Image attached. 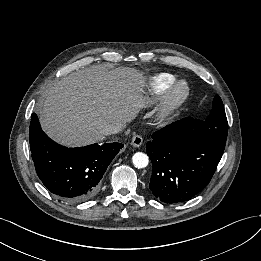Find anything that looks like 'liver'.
<instances>
[{"instance_id":"6515ba94","label":"liver","mask_w":261,"mask_h":261,"mask_svg":"<svg viewBox=\"0 0 261 261\" xmlns=\"http://www.w3.org/2000/svg\"><path fill=\"white\" fill-rule=\"evenodd\" d=\"M145 78L134 68L101 66L75 71L52 85L40 102L43 130L66 146L103 140L102 128L127 123L145 104Z\"/></svg>"}]
</instances>
